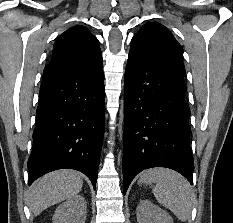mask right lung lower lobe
<instances>
[{"label":"right lung lower lobe","mask_w":233,"mask_h":223,"mask_svg":"<svg viewBox=\"0 0 233 223\" xmlns=\"http://www.w3.org/2000/svg\"><path fill=\"white\" fill-rule=\"evenodd\" d=\"M102 65L42 80L34 145L28 160L29 185L57 169L81 171L94 188L105 127Z\"/></svg>","instance_id":"right-lung-lower-lobe-1"}]
</instances>
